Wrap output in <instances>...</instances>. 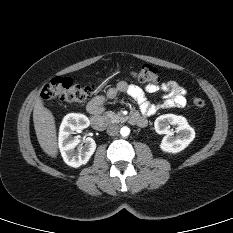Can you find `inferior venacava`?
I'll return each instance as SVG.
<instances>
[{
	"instance_id": "inferior-vena-cava-1",
	"label": "inferior vena cava",
	"mask_w": 233,
	"mask_h": 233,
	"mask_svg": "<svg viewBox=\"0 0 233 233\" xmlns=\"http://www.w3.org/2000/svg\"><path fill=\"white\" fill-rule=\"evenodd\" d=\"M119 129H120V128H119L118 125H116V124H111V125H109L108 128H107V133H108V135H110V136H115V135L118 134Z\"/></svg>"
}]
</instances>
